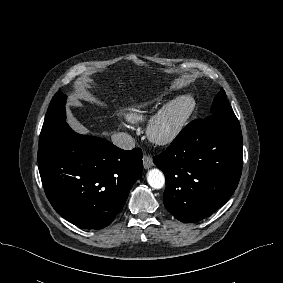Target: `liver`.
Segmentation results:
<instances>
[{"label": "liver", "mask_w": 283, "mask_h": 283, "mask_svg": "<svg viewBox=\"0 0 283 283\" xmlns=\"http://www.w3.org/2000/svg\"><path fill=\"white\" fill-rule=\"evenodd\" d=\"M71 121L79 130L87 132V129L83 125H81L76 119L72 118Z\"/></svg>", "instance_id": "obj_1"}]
</instances>
